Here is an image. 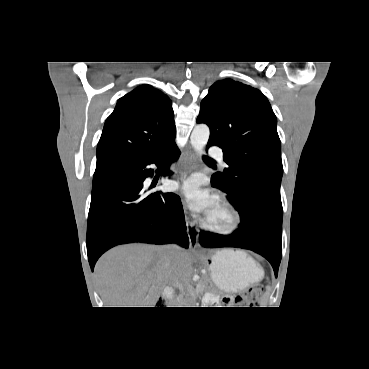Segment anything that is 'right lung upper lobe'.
<instances>
[{
	"instance_id": "right-lung-upper-lobe-1",
	"label": "right lung upper lobe",
	"mask_w": 369,
	"mask_h": 369,
	"mask_svg": "<svg viewBox=\"0 0 369 369\" xmlns=\"http://www.w3.org/2000/svg\"><path fill=\"white\" fill-rule=\"evenodd\" d=\"M175 136L169 98L149 85L139 86L120 98L107 118L97 145V164L152 153Z\"/></svg>"
}]
</instances>
